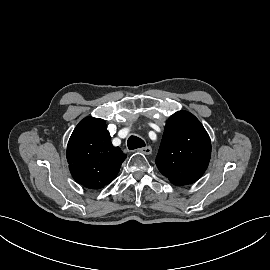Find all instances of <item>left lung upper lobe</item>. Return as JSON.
Returning <instances> with one entry per match:
<instances>
[{
    "label": "left lung upper lobe",
    "instance_id": "1",
    "mask_svg": "<svg viewBox=\"0 0 270 270\" xmlns=\"http://www.w3.org/2000/svg\"><path fill=\"white\" fill-rule=\"evenodd\" d=\"M211 157V141L199 120L187 111L174 113L166 122L155 160L159 171L174 185L197 181Z\"/></svg>",
    "mask_w": 270,
    "mask_h": 270
}]
</instances>
